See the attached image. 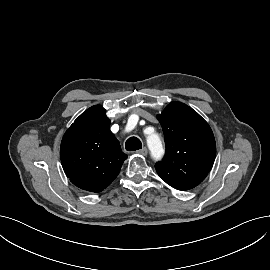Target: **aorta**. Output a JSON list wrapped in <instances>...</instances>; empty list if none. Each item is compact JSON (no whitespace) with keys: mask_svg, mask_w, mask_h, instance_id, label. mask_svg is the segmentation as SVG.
Returning a JSON list of instances; mask_svg holds the SVG:
<instances>
[{"mask_svg":"<svg viewBox=\"0 0 270 270\" xmlns=\"http://www.w3.org/2000/svg\"><path fill=\"white\" fill-rule=\"evenodd\" d=\"M147 144L155 159L161 158L163 155V146L160 137L157 134H151L147 137Z\"/></svg>","mask_w":270,"mask_h":270,"instance_id":"762f6f07","label":"aorta"}]
</instances>
